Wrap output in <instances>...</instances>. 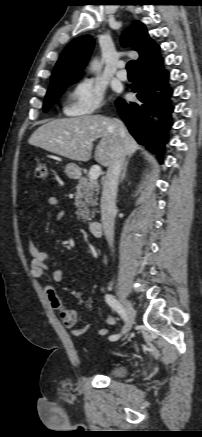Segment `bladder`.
<instances>
[{"label":"bladder","instance_id":"31cf9c89","mask_svg":"<svg viewBox=\"0 0 202 437\" xmlns=\"http://www.w3.org/2000/svg\"><path fill=\"white\" fill-rule=\"evenodd\" d=\"M108 374L114 377H122L127 373V367L123 364H112L107 369Z\"/></svg>","mask_w":202,"mask_h":437}]
</instances>
